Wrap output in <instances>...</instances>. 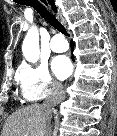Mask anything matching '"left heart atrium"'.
Masks as SVG:
<instances>
[{
  "label": "left heart atrium",
  "mask_w": 117,
  "mask_h": 136,
  "mask_svg": "<svg viewBox=\"0 0 117 136\" xmlns=\"http://www.w3.org/2000/svg\"><path fill=\"white\" fill-rule=\"evenodd\" d=\"M52 68L59 79H65L71 72V63L66 56H57L52 62Z\"/></svg>",
  "instance_id": "obj_1"
}]
</instances>
